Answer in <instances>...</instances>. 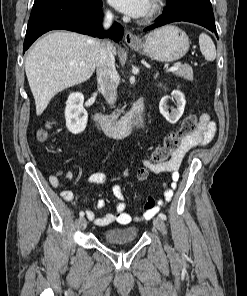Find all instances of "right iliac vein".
Returning <instances> with one entry per match:
<instances>
[{"label":"right iliac vein","instance_id":"1","mask_svg":"<svg viewBox=\"0 0 247 296\" xmlns=\"http://www.w3.org/2000/svg\"><path fill=\"white\" fill-rule=\"evenodd\" d=\"M79 224H80L81 229H85L86 226H87V221H86V219H85L84 217L80 218V219H79Z\"/></svg>","mask_w":247,"mask_h":296}]
</instances>
